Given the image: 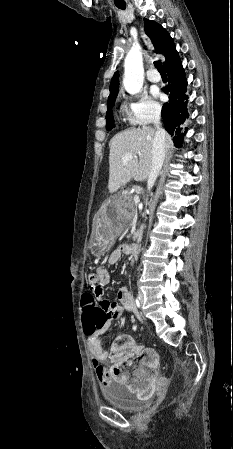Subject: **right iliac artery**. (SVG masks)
<instances>
[{
	"mask_svg": "<svg viewBox=\"0 0 233 449\" xmlns=\"http://www.w3.org/2000/svg\"><path fill=\"white\" fill-rule=\"evenodd\" d=\"M135 302H136V306H137L138 308H140V303H139V300H138L137 298H136Z\"/></svg>",
	"mask_w": 233,
	"mask_h": 449,
	"instance_id": "obj_1",
	"label": "right iliac artery"
}]
</instances>
